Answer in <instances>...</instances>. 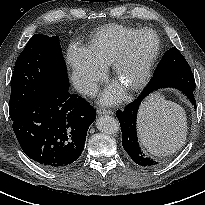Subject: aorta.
Segmentation results:
<instances>
[{
	"label": "aorta",
	"mask_w": 205,
	"mask_h": 205,
	"mask_svg": "<svg viewBox=\"0 0 205 205\" xmlns=\"http://www.w3.org/2000/svg\"><path fill=\"white\" fill-rule=\"evenodd\" d=\"M96 126L104 134H114L120 129L118 120L109 115L99 117Z\"/></svg>",
	"instance_id": "762f6f07"
}]
</instances>
